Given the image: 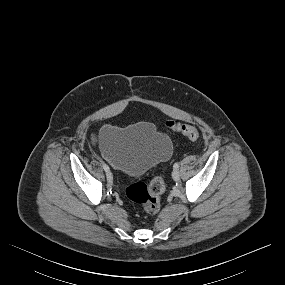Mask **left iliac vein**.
I'll list each match as a JSON object with an SVG mask.
<instances>
[{
	"mask_svg": "<svg viewBox=\"0 0 285 285\" xmlns=\"http://www.w3.org/2000/svg\"><path fill=\"white\" fill-rule=\"evenodd\" d=\"M172 178L177 181L179 180L180 178V174H179V171L177 169H174L173 172H172Z\"/></svg>",
	"mask_w": 285,
	"mask_h": 285,
	"instance_id": "4c4485c4",
	"label": "left iliac vein"
}]
</instances>
